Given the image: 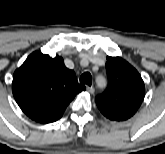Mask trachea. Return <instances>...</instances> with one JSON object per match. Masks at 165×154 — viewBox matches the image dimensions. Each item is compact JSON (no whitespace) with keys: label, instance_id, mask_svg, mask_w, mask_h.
I'll list each match as a JSON object with an SVG mask.
<instances>
[{"label":"trachea","instance_id":"obj_1","mask_svg":"<svg viewBox=\"0 0 165 154\" xmlns=\"http://www.w3.org/2000/svg\"><path fill=\"white\" fill-rule=\"evenodd\" d=\"M80 82L91 86L92 76L89 72H85L80 76Z\"/></svg>","mask_w":165,"mask_h":154}]
</instances>
